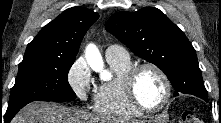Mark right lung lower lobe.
<instances>
[{
	"mask_svg": "<svg viewBox=\"0 0 221 123\" xmlns=\"http://www.w3.org/2000/svg\"><path fill=\"white\" fill-rule=\"evenodd\" d=\"M13 117H14V115L7 116V115L5 114V118L7 119V121H10Z\"/></svg>",
	"mask_w": 221,
	"mask_h": 123,
	"instance_id": "right-lung-lower-lobe-1",
	"label": "right lung lower lobe"
}]
</instances>
